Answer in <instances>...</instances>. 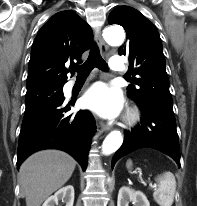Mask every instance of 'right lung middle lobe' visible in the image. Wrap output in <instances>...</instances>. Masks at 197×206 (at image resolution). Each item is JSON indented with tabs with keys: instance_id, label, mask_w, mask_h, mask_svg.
<instances>
[{
	"instance_id": "right-lung-middle-lobe-1",
	"label": "right lung middle lobe",
	"mask_w": 197,
	"mask_h": 206,
	"mask_svg": "<svg viewBox=\"0 0 197 206\" xmlns=\"http://www.w3.org/2000/svg\"><path fill=\"white\" fill-rule=\"evenodd\" d=\"M63 96V88H36L27 89L26 92V109L25 111L34 109L49 101L60 99Z\"/></svg>"
}]
</instances>
